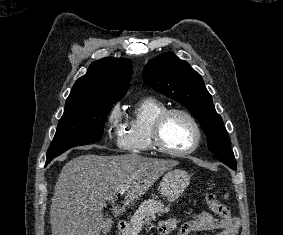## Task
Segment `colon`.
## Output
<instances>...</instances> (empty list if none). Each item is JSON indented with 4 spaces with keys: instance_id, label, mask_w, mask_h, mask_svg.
Masks as SVG:
<instances>
[{
    "instance_id": "obj_1",
    "label": "colon",
    "mask_w": 283,
    "mask_h": 235,
    "mask_svg": "<svg viewBox=\"0 0 283 235\" xmlns=\"http://www.w3.org/2000/svg\"><path fill=\"white\" fill-rule=\"evenodd\" d=\"M205 200L208 205V207L211 209V211L216 214L219 218L222 220H229L231 217L230 209L221 203L215 196V194L208 192L205 195Z\"/></svg>"
}]
</instances>
